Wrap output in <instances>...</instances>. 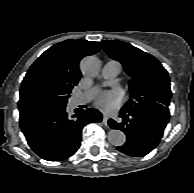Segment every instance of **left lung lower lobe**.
Listing matches in <instances>:
<instances>
[{"label": "left lung lower lobe", "instance_id": "0a47b994", "mask_svg": "<svg viewBox=\"0 0 194 193\" xmlns=\"http://www.w3.org/2000/svg\"><path fill=\"white\" fill-rule=\"evenodd\" d=\"M168 107L141 110H121L122 123L113 119L108 124L126 134V142L117 149L132 157H141L151 152L160 142L169 121Z\"/></svg>", "mask_w": 194, "mask_h": 193}]
</instances>
